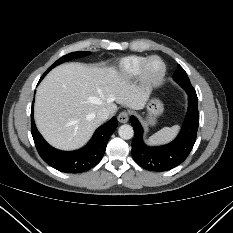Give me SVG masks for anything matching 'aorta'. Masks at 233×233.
<instances>
[{"mask_svg": "<svg viewBox=\"0 0 233 233\" xmlns=\"http://www.w3.org/2000/svg\"><path fill=\"white\" fill-rule=\"evenodd\" d=\"M118 133L122 139H126V140L131 139L134 135V131H133L132 126L128 125V124H124V125L120 126Z\"/></svg>", "mask_w": 233, "mask_h": 233, "instance_id": "aorta-1", "label": "aorta"}]
</instances>
